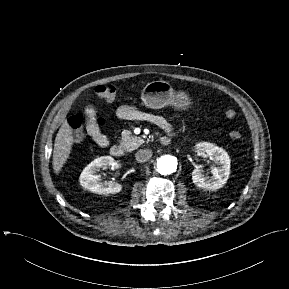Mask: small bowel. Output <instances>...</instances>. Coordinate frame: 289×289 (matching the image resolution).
I'll use <instances>...</instances> for the list:
<instances>
[{
	"label": "small bowel",
	"mask_w": 289,
	"mask_h": 289,
	"mask_svg": "<svg viewBox=\"0 0 289 289\" xmlns=\"http://www.w3.org/2000/svg\"><path fill=\"white\" fill-rule=\"evenodd\" d=\"M117 116L124 120H146L167 132L171 131V126L162 116L150 114L141 111L140 109L131 105H122L116 111ZM87 118L86 130L89 136L101 147L109 145V138L102 133L100 126L96 122V110L93 106H88L85 109Z\"/></svg>",
	"instance_id": "obj_1"
}]
</instances>
